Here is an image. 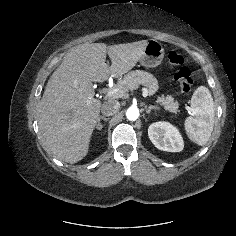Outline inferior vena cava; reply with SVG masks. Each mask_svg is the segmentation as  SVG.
Here are the masks:
<instances>
[{"label":"inferior vena cava","instance_id":"602c4592","mask_svg":"<svg viewBox=\"0 0 236 236\" xmlns=\"http://www.w3.org/2000/svg\"><path fill=\"white\" fill-rule=\"evenodd\" d=\"M120 103L116 100H107L102 104L101 112L104 116H112L119 111Z\"/></svg>","mask_w":236,"mask_h":236}]
</instances>
